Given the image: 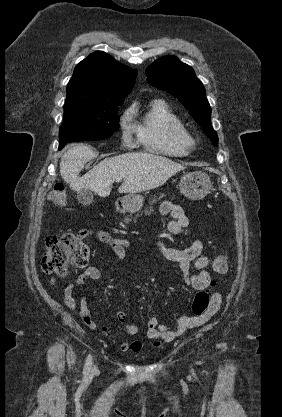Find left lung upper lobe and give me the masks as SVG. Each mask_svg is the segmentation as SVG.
<instances>
[{
  "mask_svg": "<svg viewBox=\"0 0 282 417\" xmlns=\"http://www.w3.org/2000/svg\"><path fill=\"white\" fill-rule=\"evenodd\" d=\"M146 75L151 85L169 92L189 110L217 147L218 137L211 125V108L205 88L192 67L180 62L175 56H165L152 63Z\"/></svg>",
  "mask_w": 282,
  "mask_h": 417,
  "instance_id": "5c2ea615",
  "label": "left lung upper lobe"
}]
</instances>
